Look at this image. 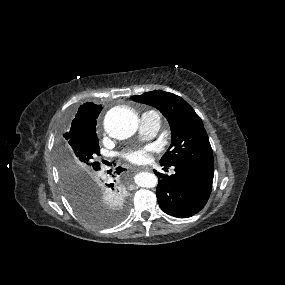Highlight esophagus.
I'll list each match as a JSON object with an SVG mask.
<instances>
[{"mask_svg":"<svg viewBox=\"0 0 285 285\" xmlns=\"http://www.w3.org/2000/svg\"><path fill=\"white\" fill-rule=\"evenodd\" d=\"M141 169L144 170V171H151V168L147 167V166L146 167H141Z\"/></svg>","mask_w":285,"mask_h":285,"instance_id":"1","label":"esophagus"}]
</instances>
